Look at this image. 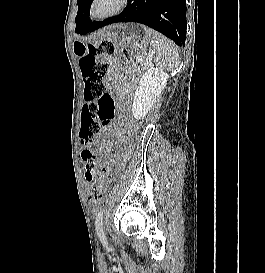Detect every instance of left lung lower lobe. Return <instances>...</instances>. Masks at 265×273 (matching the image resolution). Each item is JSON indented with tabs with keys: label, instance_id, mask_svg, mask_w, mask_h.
<instances>
[{
	"label": "left lung lower lobe",
	"instance_id": "0a47b994",
	"mask_svg": "<svg viewBox=\"0 0 265 273\" xmlns=\"http://www.w3.org/2000/svg\"><path fill=\"white\" fill-rule=\"evenodd\" d=\"M117 22H137L147 25L172 39L178 46L186 40V0H129L127 7L116 17L103 22L89 17L78 34H87Z\"/></svg>",
	"mask_w": 265,
	"mask_h": 273
}]
</instances>
